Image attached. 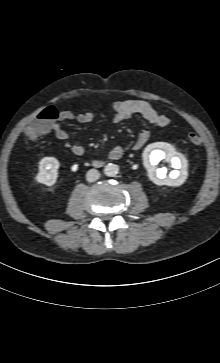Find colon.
Instances as JSON below:
<instances>
[{"instance_id": "obj_1", "label": "colon", "mask_w": 220, "mask_h": 363, "mask_svg": "<svg viewBox=\"0 0 220 363\" xmlns=\"http://www.w3.org/2000/svg\"><path fill=\"white\" fill-rule=\"evenodd\" d=\"M59 113L54 106L43 108L38 115L25 127V134L29 139H36L52 129V125L58 120ZM189 141L194 145L201 144L202 140L196 133L188 135Z\"/></svg>"}]
</instances>
